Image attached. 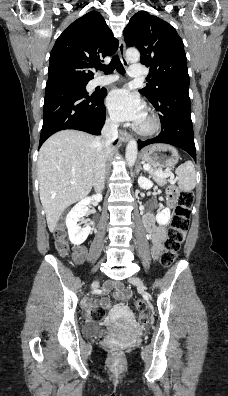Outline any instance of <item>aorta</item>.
<instances>
[{
    "instance_id": "obj_1",
    "label": "aorta",
    "mask_w": 228,
    "mask_h": 396,
    "mask_svg": "<svg viewBox=\"0 0 228 396\" xmlns=\"http://www.w3.org/2000/svg\"><path fill=\"white\" fill-rule=\"evenodd\" d=\"M126 59L130 62H138L140 59V53L137 49L131 48L126 51ZM126 161L128 167H132L135 164L137 158V142L131 139L126 146Z\"/></svg>"
}]
</instances>
